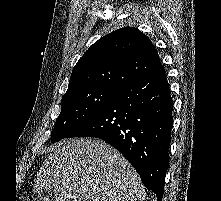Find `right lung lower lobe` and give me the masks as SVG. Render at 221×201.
<instances>
[{"label": "right lung lower lobe", "instance_id": "98d812e1", "mask_svg": "<svg viewBox=\"0 0 221 201\" xmlns=\"http://www.w3.org/2000/svg\"><path fill=\"white\" fill-rule=\"evenodd\" d=\"M173 101L160 65L122 87L69 137L100 138L115 147L136 169L144 186L162 201L169 164Z\"/></svg>", "mask_w": 221, "mask_h": 201}]
</instances>
